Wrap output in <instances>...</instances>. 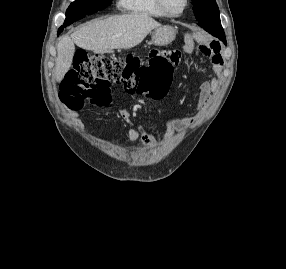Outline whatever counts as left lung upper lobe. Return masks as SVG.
I'll return each mask as SVG.
<instances>
[{
    "label": "left lung upper lobe",
    "mask_w": 286,
    "mask_h": 269,
    "mask_svg": "<svg viewBox=\"0 0 286 269\" xmlns=\"http://www.w3.org/2000/svg\"><path fill=\"white\" fill-rule=\"evenodd\" d=\"M193 11L198 24L211 35L223 40L224 30L221 26L220 13L215 0H192Z\"/></svg>",
    "instance_id": "left-lung-upper-lobe-1"
}]
</instances>
